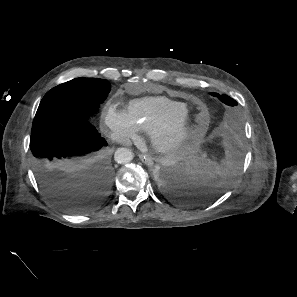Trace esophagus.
I'll return each mask as SVG.
<instances>
[{
	"instance_id": "obj_1",
	"label": "esophagus",
	"mask_w": 297,
	"mask_h": 297,
	"mask_svg": "<svg viewBox=\"0 0 297 297\" xmlns=\"http://www.w3.org/2000/svg\"><path fill=\"white\" fill-rule=\"evenodd\" d=\"M140 159L148 167H152L154 164L153 159L149 155H140Z\"/></svg>"
}]
</instances>
